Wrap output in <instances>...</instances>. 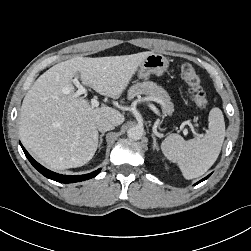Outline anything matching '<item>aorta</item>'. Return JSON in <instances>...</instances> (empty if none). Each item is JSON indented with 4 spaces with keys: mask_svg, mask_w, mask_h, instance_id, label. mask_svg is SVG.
I'll list each match as a JSON object with an SVG mask.
<instances>
[{
    "mask_svg": "<svg viewBox=\"0 0 251 251\" xmlns=\"http://www.w3.org/2000/svg\"><path fill=\"white\" fill-rule=\"evenodd\" d=\"M143 133H144V130L142 127L134 126L128 130L127 135L130 139L140 140L143 136Z\"/></svg>",
    "mask_w": 251,
    "mask_h": 251,
    "instance_id": "1",
    "label": "aorta"
}]
</instances>
